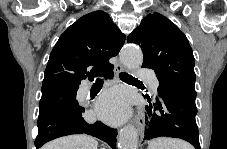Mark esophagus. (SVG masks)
Wrapping results in <instances>:
<instances>
[{
  "mask_svg": "<svg viewBox=\"0 0 227 149\" xmlns=\"http://www.w3.org/2000/svg\"><path fill=\"white\" fill-rule=\"evenodd\" d=\"M124 71V67L121 63H117L115 65V72L116 74H119L121 72ZM133 117V116H131ZM136 126H137V129L138 131L142 134L144 132V127H145V120L143 119V117L141 115H137L135 120H134Z\"/></svg>",
  "mask_w": 227,
  "mask_h": 149,
  "instance_id": "1",
  "label": "esophagus"
}]
</instances>
